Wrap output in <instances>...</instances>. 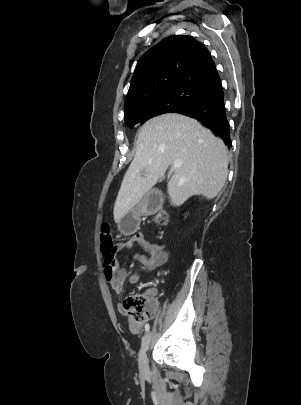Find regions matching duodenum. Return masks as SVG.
Wrapping results in <instances>:
<instances>
[{
    "label": "duodenum",
    "mask_w": 301,
    "mask_h": 405,
    "mask_svg": "<svg viewBox=\"0 0 301 405\" xmlns=\"http://www.w3.org/2000/svg\"><path fill=\"white\" fill-rule=\"evenodd\" d=\"M140 217L151 219L152 213H160L163 208V196L160 190H147L145 197L140 200Z\"/></svg>",
    "instance_id": "410a0bca"
}]
</instances>
